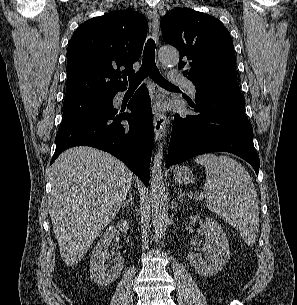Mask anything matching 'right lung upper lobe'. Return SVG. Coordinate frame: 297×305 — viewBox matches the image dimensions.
Wrapping results in <instances>:
<instances>
[{
    "label": "right lung upper lobe",
    "mask_w": 297,
    "mask_h": 305,
    "mask_svg": "<svg viewBox=\"0 0 297 305\" xmlns=\"http://www.w3.org/2000/svg\"><path fill=\"white\" fill-rule=\"evenodd\" d=\"M146 34V18L131 9L81 24L67 49L65 102L126 89V75L135 72Z\"/></svg>",
    "instance_id": "right-lung-upper-lobe-1"
}]
</instances>
